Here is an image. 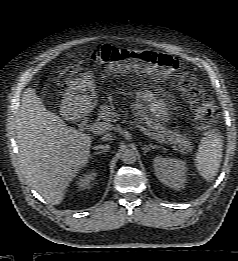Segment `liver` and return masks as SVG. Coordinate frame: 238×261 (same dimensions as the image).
Listing matches in <instances>:
<instances>
[{
	"mask_svg": "<svg viewBox=\"0 0 238 261\" xmlns=\"http://www.w3.org/2000/svg\"><path fill=\"white\" fill-rule=\"evenodd\" d=\"M16 118L17 144L28 184L52 205L88 163L92 137L69 127L48 111L35 90L27 88Z\"/></svg>",
	"mask_w": 238,
	"mask_h": 261,
	"instance_id": "6515ba94",
	"label": "liver"
}]
</instances>
